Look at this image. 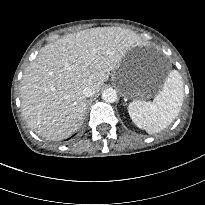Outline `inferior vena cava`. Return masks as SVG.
Listing matches in <instances>:
<instances>
[{"instance_id": "1", "label": "inferior vena cava", "mask_w": 205, "mask_h": 205, "mask_svg": "<svg viewBox=\"0 0 205 205\" xmlns=\"http://www.w3.org/2000/svg\"><path fill=\"white\" fill-rule=\"evenodd\" d=\"M83 94L85 97H92L94 96L95 94V89L93 86H86L84 89H83Z\"/></svg>"}]
</instances>
